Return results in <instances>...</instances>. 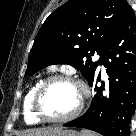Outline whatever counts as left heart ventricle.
Listing matches in <instances>:
<instances>
[{
	"instance_id": "1",
	"label": "left heart ventricle",
	"mask_w": 136,
	"mask_h": 136,
	"mask_svg": "<svg viewBox=\"0 0 136 136\" xmlns=\"http://www.w3.org/2000/svg\"><path fill=\"white\" fill-rule=\"evenodd\" d=\"M78 100L79 92L74 85L55 81L45 89L40 100V109L48 117H63L75 109Z\"/></svg>"
}]
</instances>
